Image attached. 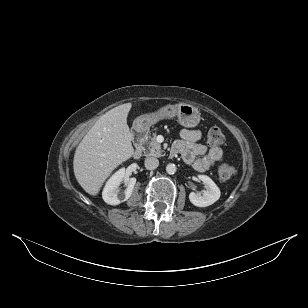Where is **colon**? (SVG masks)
Masks as SVG:
<instances>
[{
  "instance_id": "obj_1",
  "label": "colon",
  "mask_w": 308,
  "mask_h": 308,
  "mask_svg": "<svg viewBox=\"0 0 308 308\" xmlns=\"http://www.w3.org/2000/svg\"><path fill=\"white\" fill-rule=\"evenodd\" d=\"M223 142L224 135L219 128L213 127L208 131L207 143L211 148L218 147ZM217 175L221 182H228L235 175V168L228 163H223L218 167Z\"/></svg>"
}]
</instances>
